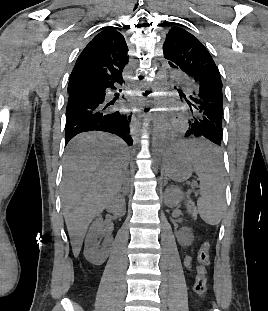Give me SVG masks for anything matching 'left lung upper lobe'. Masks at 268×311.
<instances>
[{"instance_id": "1", "label": "left lung upper lobe", "mask_w": 268, "mask_h": 311, "mask_svg": "<svg viewBox=\"0 0 268 311\" xmlns=\"http://www.w3.org/2000/svg\"><path fill=\"white\" fill-rule=\"evenodd\" d=\"M164 58L172 68L184 72L192 86L212 81L222 86L219 70L206 47L191 33L174 26L163 44Z\"/></svg>"}]
</instances>
